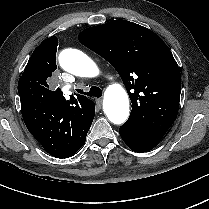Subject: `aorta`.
I'll return each mask as SVG.
<instances>
[{
  "mask_svg": "<svg viewBox=\"0 0 209 209\" xmlns=\"http://www.w3.org/2000/svg\"><path fill=\"white\" fill-rule=\"evenodd\" d=\"M61 67L80 77H95L99 74L96 63L85 53L77 49H65L59 55ZM103 108L109 121L123 124L129 116V98L120 84L110 85L105 93Z\"/></svg>",
  "mask_w": 209,
  "mask_h": 209,
  "instance_id": "aorta-1",
  "label": "aorta"
}]
</instances>
